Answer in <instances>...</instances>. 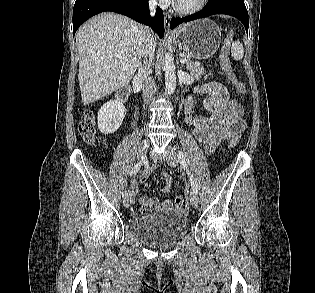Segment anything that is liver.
Here are the masks:
<instances>
[{"instance_id":"liver-1","label":"liver","mask_w":315,"mask_h":293,"mask_svg":"<svg viewBox=\"0 0 315 293\" xmlns=\"http://www.w3.org/2000/svg\"><path fill=\"white\" fill-rule=\"evenodd\" d=\"M76 45L82 103L88 105L131 81L142 57L144 28L125 16L103 13L80 27Z\"/></svg>"}]
</instances>
